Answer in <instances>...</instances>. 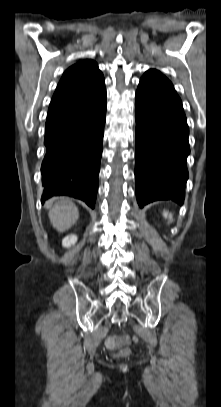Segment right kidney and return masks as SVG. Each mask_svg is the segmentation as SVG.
Segmentation results:
<instances>
[{
	"instance_id": "right-kidney-1",
	"label": "right kidney",
	"mask_w": 221,
	"mask_h": 407,
	"mask_svg": "<svg viewBox=\"0 0 221 407\" xmlns=\"http://www.w3.org/2000/svg\"><path fill=\"white\" fill-rule=\"evenodd\" d=\"M77 242V236L72 234V235H68L66 236L63 240H62V245L63 247H71L72 245H74Z\"/></svg>"
}]
</instances>
